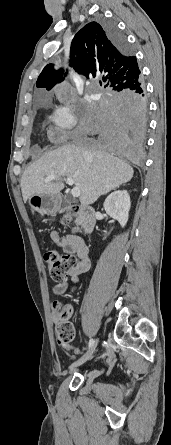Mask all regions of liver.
<instances>
[{
  "label": "liver",
  "instance_id": "6515ba94",
  "mask_svg": "<svg viewBox=\"0 0 171 445\" xmlns=\"http://www.w3.org/2000/svg\"><path fill=\"white\" fill-rule=\"evenodd\" d=\"M133 168L117 157H107L100 147L83 143L68 144L50 151L30 165L21 178L24 202L34 194L56 196L64 188L59 181L66 176L80 189V202L93 204L99 196L130 181ZM51 175L56 182H45Z\"/></svg>",
  "mask_w": 171,
  "mask_h": 445
}]
</instances>
